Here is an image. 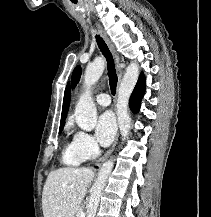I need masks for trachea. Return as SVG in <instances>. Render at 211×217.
Wrapping results in <instances>:
<instances>
[{
  "label": "trachea",
  "instance_id": "obj_1",
  "mask_svg": "<svg viewBox=\"0 0 211 217\" xmlns=\"http://www.w3.org/2000/svg\"><path fill=\"white\" fill-rule=\"evenodd\" d=\"M96 42L98 44L100 51L106 58L110 89H111V93L115 95L116 86H117V75L115 71V64H114L112 54L108 49V46L106 45L104 40L99 35H96Z\"/></svg>",
  "mask_w": 211,
  "mask_h": 217
}]
</instances>
